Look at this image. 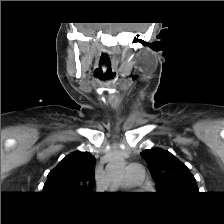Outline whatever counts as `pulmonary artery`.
I'll use <instances>...</instances> for the list:
<instances>
[{
	"label": "pulmonary artery",
	"instance_id": "pulmonary-artery-1",
	"mask_svg": "<svg viewBox=\"0 0 224 224\" xmlns=\"http://www.w3.org/2000/svg\"><path fill=\"white\" fill-rule=\"evenodd\" d=\"M144 182L143 169L136 164H131L127 167L124 179V186L138 187Z\"/></svg>",
	"mask_w": 224,
	"mask_h": 224
}]
</instances>
